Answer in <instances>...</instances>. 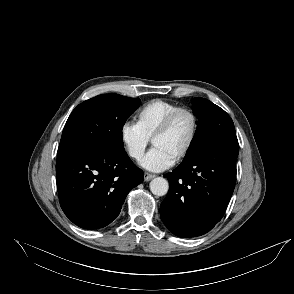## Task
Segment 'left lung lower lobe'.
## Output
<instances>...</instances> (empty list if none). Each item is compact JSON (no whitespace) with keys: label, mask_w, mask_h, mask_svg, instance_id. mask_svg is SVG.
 Listing matches in <instances>:
<instances>
[{"label":"left lung lower lobe","mask_w":294,"mask_h":294,"mask_svg":"<svg viewBox=\"0 0 294 294\" xmlns=\"http://www.w3.org/2000/svg\"><path fill=\"white\" fill-rule=\"evenodd\" d=\"M238 152L236 134L224 135L165 174L170 189L160 216L173 234L197 237L221 220L235 188Z\"/></svg>","instance_id":"obj_1"}]
</instances>
